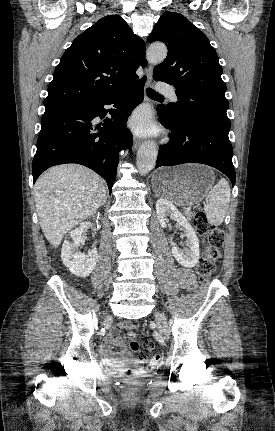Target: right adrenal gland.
<instances>
[{
  "mask_svg": "<svg viewBox=\"0 0 275 431\" xmlns=\"http://www.w3.org/2000/svg\"><path fill=\"white\" fill-rule=\"evenodd\" d=\"M105 204H106V199L103 201L102 205H105Z\"/></svg>",
  "mask_w": 275,
  "mask_h": 431,
  "instance_id": "2a0ac1e0",
  "label": "right adrenal gland"
}]
</instances>
